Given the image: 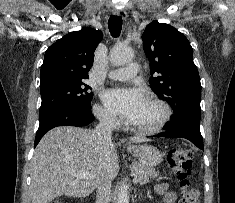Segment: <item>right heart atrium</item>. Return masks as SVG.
<instances>
[{"mask_svg":"<svg viewBox=\"0 0 235 203\" xmlns=\"http://www.w3.org/2000/svg\"><path fill=\"white\" fill-rule=\"evenodd\" d=\"M95 115L106 126L115 127L118 124V120L114 114L100 105L95 107Z\"/></svg>","mask_w":235,"mask_h":203,"instance_id":"obj_1","label":"right heart atrium"}]
</instances>
